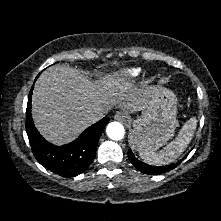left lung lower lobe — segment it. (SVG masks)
<instances>
[{
    "mask_svg": "<svg viewBox=\"0 0 221 221\" xmlns=\"http://www.w3.org/2000/svg\"><path fill=\"white\" fill-rule=\"evenodd\" d=\"M128 158H129L130 162L142 173L154 174V175L168 172V171L174 169L175 167H177L183 161V159H181L177 163H173V164L166 165V166H151V165H147L146 163H143L140 160H138L134 156L131 149H129V151H128ZM184 158H186V156ZM155 169H158L159 172Z\"/></svg>",
    "mask_w": 221,
    "mask_h": 221,
    "instance_id": "0a47b994",
    "label": "left lung lower lobe"
}]
</instances>
